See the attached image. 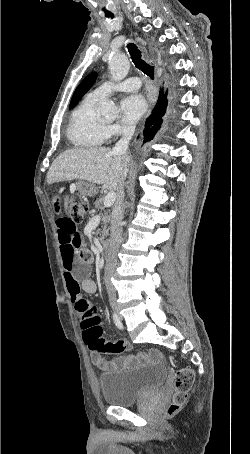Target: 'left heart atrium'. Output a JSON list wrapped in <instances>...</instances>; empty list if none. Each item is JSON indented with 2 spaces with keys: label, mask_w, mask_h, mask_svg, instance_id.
I'll use <instances>...</instances> for the list:
<instances>
[{
  "label": "left heart atrium",
  "mask_w": 250,
  "mask_h": 454,
  "mask_svg": "<svg viewBox=\"0 0 250 454\" xmlns=\"http://www.w3.org/2000/svg\"><path fill=\"white\" fill-rule=\"evenodd\" d=\"M146 110V100L139 93L128 95L120 102L122 120L127 124L137 122L144 115Z\"/></svg>",
  "instance_id": "obj_1"
}]
</instances>
